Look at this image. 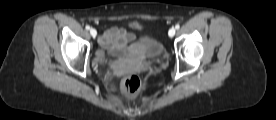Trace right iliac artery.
<instances>
[{
  "label": "right iliac artery",
  "instance_id": "obj_1",
  "mask_svg": "<svg viewBox=\"0 0 276 120\" xmlns=\"http://www.w3.org/2000/svg\"><path fill=\"white\" fill-rule=\"evenodd\" d=\"M85 28H86V30H89V29H90V26H89V25H86Z\"/></svg>",
  "mask_w": 276,
  "mask_h": 120
}]
</instances>
